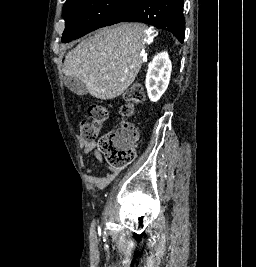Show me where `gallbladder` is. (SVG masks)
<instances>
[{"mask_svg":"<svg viewBox=\"0 0 256 267\" xmlns=\"http://www.w3.org/2000/svg\"><path fill=\"white\" fill-rule=\"evenodd\" d=\"M63 84L68 90L77 94V96H85V94H88L86 84L81 82V80H78V78H69V76H65Z\"/></svg>","mask_w":256,"mask_h":267,"instance_id":"obj_1","label":"gallbladder"}]
</instances>
